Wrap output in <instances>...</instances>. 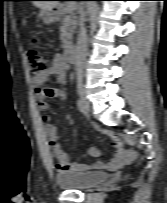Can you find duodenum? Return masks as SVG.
I'll return each instance as SVG.
<instances>
[{
    "mask_svg": "<svg viewBox=\"0 0 167 203\" xmlns=\"http://www.w3.org/2000/svg\"><path fill=\"white\" fill-rule=\"evenodd\" d=\"M61 9L55 8L52 11L53 21L56 22L58 20L59 13ZM77 55V47L75 45H68L65 49L64 59L68 63H73L76 60Z\"/></svg>",
    "mask_w": 167,
    "mask_h": 203,
    "instance_id": "obj_1",
    "label": "duodenum"
}]
</instances>
